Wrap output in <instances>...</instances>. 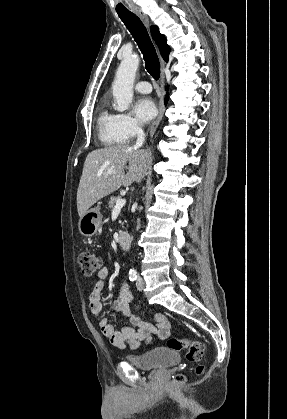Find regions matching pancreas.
I'll return each instance as SVG.
<instances>
[{
	"label": "pancreas",
	"mask_w": 287,
	"mask_h": 419,
	"mask_svg": "<svg viewBox=\"0 0 287 419\" xmlns=\"http://www.w3.org/2000/svg\"><path fill=\"white\" fill-rule=\"evenodd\" d=\"M117 199H119V197H110L109 201H108V207L109 208H113L114 204L116 203Z\"/></svg>",
	"instance_id": "pancreas-1"
}]
</instances>
